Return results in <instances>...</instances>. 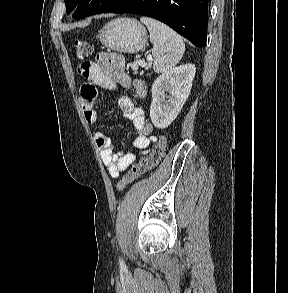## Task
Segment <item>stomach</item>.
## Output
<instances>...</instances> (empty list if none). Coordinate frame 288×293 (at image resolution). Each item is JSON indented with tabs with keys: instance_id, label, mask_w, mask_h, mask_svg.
<instances>
[{
	"instance_id": "0dacf381",
	"label": "stomach",
	"mask_w": 288,
	"mask_h": 293,
	"mask_svg": "<svg viewBox=\"0 0 288 293\" xmlns=\"http://www.w3.org/2000/svg\"><path fill=\"white\" fill-rule=\"evenodd\" d=\"M99 39L110 50L133 54L146 46L148 34L136 19L121 17L104 25L99 31Z\"/></svg>"
}]
</instances>
